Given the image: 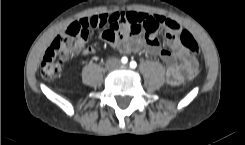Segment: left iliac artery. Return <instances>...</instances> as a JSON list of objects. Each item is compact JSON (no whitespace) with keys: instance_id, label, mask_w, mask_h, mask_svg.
<instances>
[{"instance_id":"obj_1","label":"left iliac artery","mask_w":245,"mask_h":145,"mask_svg":"<svg viewBox=\"0 0 245 145\" xmlns=\"http://www.w3.org/2000/svg\"><path fill=\"white\" fill-rule=\"evenodd\" d=\"M136 66H137V64H136L135 61H131V62H130V67H131V68L134 69V68H136Z\"/></svg>"}]
</instances>
